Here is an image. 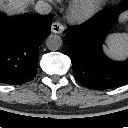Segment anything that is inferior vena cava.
<instances>
[{
    "label": "inferior vena cava",
    "mask_w": 128,
    "mask_h": 128,
    "mask_svg": "<svg viewBox=\"0 0 128 128\" xmlns=\"http://www.w3.org/2000/svg\"><path fill=\"white\" fill-rule=\"evenodd\" d=\"M35 10L41 15H46L51 12L52 7L46 1L40 0L36 3Z\"/></svg>",
    "instance_id": "obj_1"
}]
</instances>
